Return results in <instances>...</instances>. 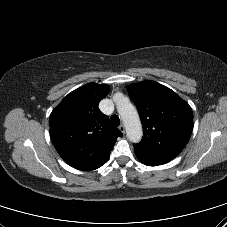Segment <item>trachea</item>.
Wrapping results in <instances>:
<instances>
[{
  "label": "trachea",
  "instance_id": "trachea-1",
  "mask_svg": "<svg viewBox=\"0 0 227 227\" xmlns=\"http://www.w3.org/2000/svg\"><path fill=\"white\" fill-rule=\"evenodd\" d=\"M110 122L113 126L118 127L120 124V119L117 115H112L110 118Z\"/></svg>",
  "mask_w": 227,
  "mask_h": 227
}]
</instances>
